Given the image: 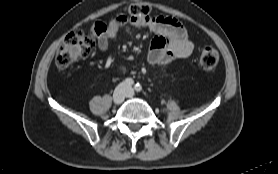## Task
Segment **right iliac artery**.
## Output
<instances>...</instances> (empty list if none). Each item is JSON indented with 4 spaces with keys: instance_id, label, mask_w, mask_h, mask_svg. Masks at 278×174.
<instances>
[{
    "instance_id": "1",
    "label": "right iliac artery",
    "mask_w": 278,
    "mask_h": 174,
    "mask_svg": "<svg viewBox=\"0 0 278 174\" xmlns=\"http://www.w3.org/2000/svg\"><path fill=\"white\" fill-rule=\"evenodd\" d=\"M124 84H125V85H128V86H132V85L134 84V81H133L132 78H126V79L124 80Z\"/></svg>"
}]
</instances>
